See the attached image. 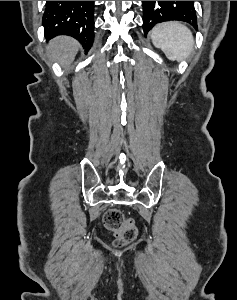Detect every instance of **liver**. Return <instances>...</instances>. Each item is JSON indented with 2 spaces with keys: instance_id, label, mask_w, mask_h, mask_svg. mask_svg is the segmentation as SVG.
Returning <instances> with one entry per match:
<instances>
[{
  "instance_id": "obj_1",
  "label": "liver",
  "mask_w": 237,
  "mask_h": 300,
  "mask_svg": "<svg viewBox=\"0 0 237 300\" xmlns=\"http://www.w3.org/2000/svg\"><path fill=\"white\" fill-rule=\"evenodd\" d=\"M78 49L79 43L72 37H56L53 41H49L47 53L50 57H57L63 69H68L73 63Z\"/></svg>"
}]
</instances>
